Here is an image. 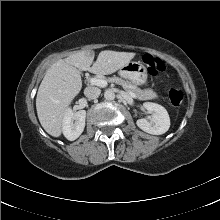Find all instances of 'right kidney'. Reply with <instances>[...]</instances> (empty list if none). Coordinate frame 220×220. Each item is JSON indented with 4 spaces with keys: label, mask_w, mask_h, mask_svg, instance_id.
I'll return each mask as SVG.
<instances>
[{
    "label": "right kidney",
    "mask_w": 220,
    "mask_h": 220,
    "mask_svg": "<svg viewBox=\"0 0 220 220\" xmlns=\"http://www.w3.org/2000/svg\"><path fill=\"white\" fill-rule=\"evenodd\" d=\"M85 118V110L73 112L68 109L62 122L63 135L70 141L77 139L85 128Z\"/></svg>",
    "instance_id": "1"
}]
</instances>
